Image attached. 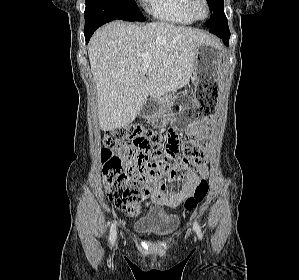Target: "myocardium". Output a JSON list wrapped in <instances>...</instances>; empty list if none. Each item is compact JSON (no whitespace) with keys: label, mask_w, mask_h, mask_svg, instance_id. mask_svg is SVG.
I'll list each match as a JSON object with an SVG mask.
<instances>
[{"label":"myocardium","mask_w":299,"mask_h":280,"mask_svg":"<svg viewBox=\"0 0 299 280\" xmlns=\"http://www.w3.org/2000/svg\"><path fill=\"white\" fill-rule=\"evenodd\" d=\"M198 3H201L205 8V14L203 16L197 14L196 6ZM187 10L195 21H203L207 19L210 14V6L207 0H187Z\"/></svg>","instance_id":"obj_1"}]
</instances>
